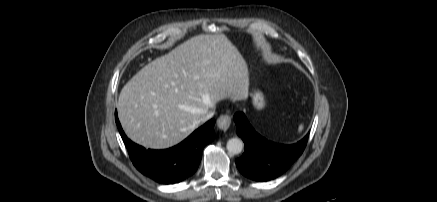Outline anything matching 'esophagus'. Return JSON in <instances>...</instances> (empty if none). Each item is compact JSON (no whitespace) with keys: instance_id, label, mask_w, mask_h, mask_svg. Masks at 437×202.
Here are the masks:
<instances>
[{"instance_id":"obj_1","label":"esophagus","mask_w":437,"mask_h":202,"mask_svg":"<svg viewBox=\"0 0 437 202\" xmlns=\"http://www.w3.org/2000/svg\"><path fill=\"white\" fill-rule=\"evenodd\" d=\"M231 125V117L227 114L221 115L217 119V126L219 129L226 131Z\"/></svg>"}]
</instances>
